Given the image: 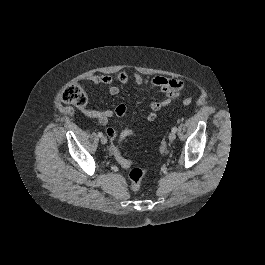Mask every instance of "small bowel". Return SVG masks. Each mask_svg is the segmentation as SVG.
<instances>
[{
    "label": "small bowel",
    "mask_w": 265,
    "mask_h": 265,
    "mask_svg": "<svg viewBox=\"0 0 265 265\" xmlns=\"http://www.w3.org/2000/svg\"><path fill=\"white\" fill-rule=\"evenodd\" d=\"M133 79L138 85L150 88H159L166 95L165 100L154 101L150 104V111L146 113V118L149 121H153L163 108L176 99L184 87L181 80L168 77L157 76L152 79H148L138 73H135L133 75ZM87 80L93 85L104 86L108 94L114 96L120 92V88L115 84V80L121 84H127L129 82V75L125 71L118 72L116 78L105 74H93L88 76ZM86 113L89 116L96 118L101 125H106L110 118L114 116L119 118L123 117L126 114V106L124 104H119L114 110L89 111Z\"/></svg>",
    "instance_id": "1"
}]
</instances>
